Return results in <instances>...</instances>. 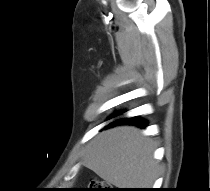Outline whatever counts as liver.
I'll return each mask as SVG.
<instances>
[{
	"instance_id": "1",
	"label": "liver",
	"mask_w": 210,
	"mask_h": 191,
	"mask_svg": "<svg viewBox=\"0 0 210 191\" xmlns=\"http://www.w3.org/2000/svg\"><path fill=\"white\" fill-rule=\"evenodd\" d=\"M154 146L132 126H119L99 134L90 143L83 164L118 188H148L156 178Z\"/></svg>"
}]
</instances>
